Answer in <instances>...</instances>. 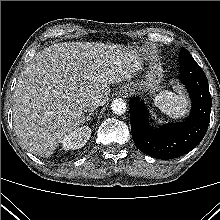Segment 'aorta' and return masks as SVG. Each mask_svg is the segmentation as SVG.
<instances>
[{
  "label": "aorta",
  "mask_w": 220,
  "mask_h": 220,
  "mask_svg": "<svg viewBox=\"0 0 220 220\" xmlns=\"http://www.w3.org/2000/svg\"><path fill=\"white\" fill-rule=\"evenodd\" d=\"M111 109L117 115L124 114L127 109L126 102L122 98H116L111 103Z\"/></svg>",
  "instance_id": "762f6f07"
}]
</instances>
